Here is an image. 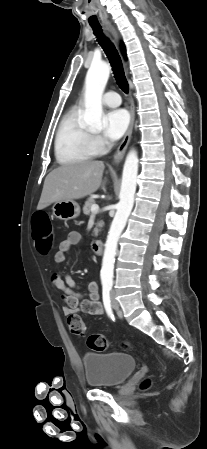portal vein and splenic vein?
Listing matches in <instances>:
<instances>
[{
  "instance_id": "18ae733b",
  "label": "portal vein and splenic vein",
  "mask_w": 207,
  "mask_h": 449,
  "mask_svg": "<svg viewBox=\"0 0 207 449\" xmlns=\"http://www.w3.org/2000/svg\"><path fill=\"white\" fill-rule=\"evenodd\" d=\"M98 211H99V206L97 204L92 205L91 212L95 214Z\"/></svg>"
}]
</instances>
